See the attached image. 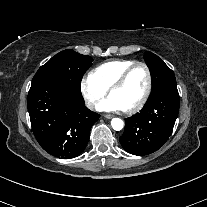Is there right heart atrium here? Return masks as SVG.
<instances>
[{
  "label": "right heart atrium",
  "mask_w": 207,
  "mask_h": 207,
  "mask_svg": "<svg viewBox=\"0 0 207 207\" xmlns=\"http://www.w3.org/2000/svg\"><path fill=\"white\" fill-rule=\"evenodd\" d=\"M80 92L90 109H95L107 94V90L100 86L90 75L81 80Z\"/></svg>",
  "instance_id": "d8ad5b80"
}]
</instances>
